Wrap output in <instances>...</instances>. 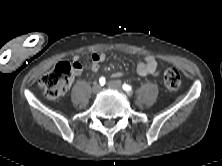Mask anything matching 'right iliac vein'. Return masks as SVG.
<instances>
[{
	"label": "right iliac vein",
	"mask_w": 222,
	"mask_h": 166,
	"mask_svg": "<svg viewBox=\"0 0 222 166\" xmlns=\"http://www.w3.org/2000/svg\"><path fill=\"white\" fill-rule=\"evenodd\" d=\"M101 88L102 87L100 84H94L92 87V92L96 94V93L100 92Z\"/></svg>",
	"instance_id": "right-iliac-vein-1"
}]
</instances>
